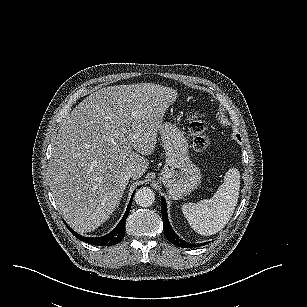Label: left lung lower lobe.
I'll use <instances>...</instances> for the list:
<instances>
[{"label":"left lung lower lobe","instance_id":"1","mask_svg":"<svg viewBox=\"0 0 307 307\" xmlns=\"http://www.w3.org/2000/svg\"><path fill=\"white\" fill-rule=\"evenodd\" d=\"M162 202V219H163V225H164V234L166 238L174 245L183 247V248H190V247H198L205 245L207 243H201V244H190L182 239H180L177 234L173 231L172 227L170 226L168 216H167V209H166V202L165 199H161Z\"/></svg>","mask_w":307,"mask_h":307}]
</instances>
